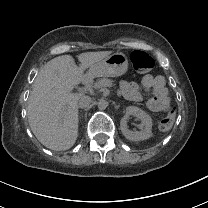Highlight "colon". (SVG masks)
<instances>
[{
    "mask_svg": "<svg viewBox=\"0 0 208 208\" xmlns=\"http://www.w3.org/2000/svg\"><path fill=\"white\" fill-rule=\"evenodd\" d=\"M131 61L134 69L137 72L145 73L149 72L154 67V59L153 57L142 50H135L131 53ZM176 114L173 109H169L163 118L159 121L158 126L161 131L170 130L175 122Z\"/></svg>",
    "mask_w": 208,
    "mask_h": 208,
    "instance_id": "obj_1",
    "label": "colon"
}]
</instances>
